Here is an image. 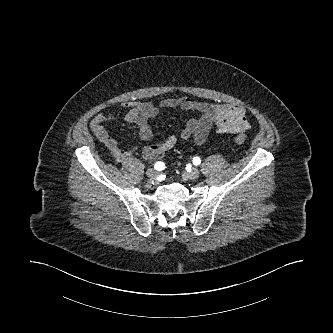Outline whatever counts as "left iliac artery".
<instances>
[{
  "label": "left iliac artery",
  "instance_id": "obj_1",
  "mask_svg": "<svg viewBox=\"0 0 333 333\" xmlns=\"http://www.w3.org/2000/svg\"><path fill=\"white\" fill-rule=\"evenodd\" d=\"M200 163H201V159H200L199 157L196 156V157L193 158V164H194V165L197 166V165H199Z\"/></svg>",
  "mask_w": 333,
  "mask_h": 333
}]
</instances>
